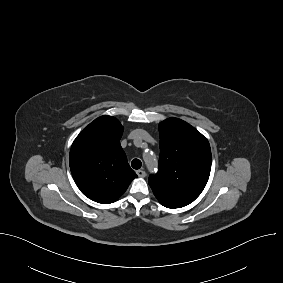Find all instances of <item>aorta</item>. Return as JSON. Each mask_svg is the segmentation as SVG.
<instances>
[{"instance_id":"obj_1","label":"aorta","mask_w":283,"mask_h":283,"mask_svg":"<svg viewBox=\"0 0 283 283\" xmlns=\"http://www.w3.org/2000/svg\"><path fill=\"white\" fill-rule=\"evenodd\" d=\"M145 159H147V165L149 167L150 170H153L156 167L157 164V160L155 155L151 154V153H146L145 154Z\"/></svg>"}]
</instances>
